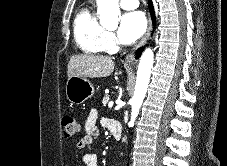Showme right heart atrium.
<instances>
[{"label": "right heart atrium", "instance_id": "d8ad5b80", "mask_svg": "<svg viewBox=\"0 0 227 166\" xmlns=\"http://www.w3.org/2000/svg\"><path fill=\"white\" fill-rule=\"evenodd\" d=\"M117 39L112 32H107L106 34V50L110 51L117 47Z\"/></svg>", "mask_w": 227, "mask_h": 166}]
</instances>
